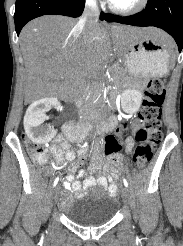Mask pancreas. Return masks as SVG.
<instances>
[{"label":"pancreas","mask_w":183,"mask_h":246,"mask_svg":"<svg viewBox=\"0 0 183 246\" xmlns=\"http://www.w3.org/2000/svg\"><path fill=\"white\" fill-rule=\"evenodd\" d=\"M118 73H119V74H124V75H126L127 70L122 69V68H119V69H118Z\"/></svg>","instance_id":"pancreas-1"}]
</instances>
